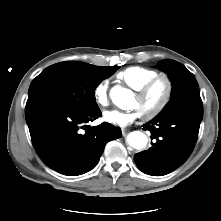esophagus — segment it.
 Here are the masks:
<instances>
[{"label":"esophagus","instance_id":"esophagus-1","mask_svg":"<svg viewBox=\"0 0 221 221\" xmlns=\"http://www.w3.org/2000/svg\"><path fill=\"white\" fill-rule=\"evenodd\" d=\"M128 134V130L127 129H122V135L126 136Z\"/></svg>","mask_w":221,"mask_h":221}]
</instances>
